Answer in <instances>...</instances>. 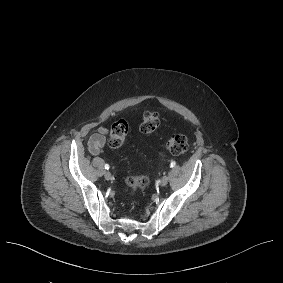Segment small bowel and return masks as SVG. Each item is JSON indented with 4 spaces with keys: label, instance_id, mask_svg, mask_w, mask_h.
Here are the masks:
<instances>
[{
    "label": "small bowel",
    "instance_id": "obj_1",
    "mask_svg": "<svg viewBox=\"0 0 283 283\" xmlns=\"http://www.w3.org/2000/svg\"><path fill=\"white\" fill-rule=\"evenodd\" d=\"M108 130L105 127H99L97 133L93 134L88 142L89 151L92 155H98L106 146Z\"/></svg>",
    "mask_w": 283,
    "mask_h": 283
}]
</instances>
